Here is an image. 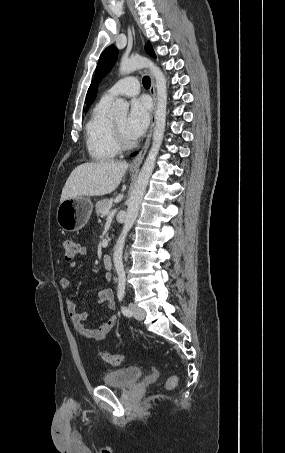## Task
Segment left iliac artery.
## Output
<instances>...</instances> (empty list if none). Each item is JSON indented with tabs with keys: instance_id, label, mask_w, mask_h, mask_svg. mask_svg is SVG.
Wrapping results in <instances>:
<instances>
[{
	"instance_id": "44dca946",
	"label": "left iliac artery",
	"mask_w": 285,
	"mask_h": 453,
	"mask_svg": "<svg viewBox=\"0 0 285 453\" xmlns=\"http://www.w3.org/2000/svg\"><path fill=\"white\" fill-rule=\"evenodd\" d=\"M118 290H117V297L119 302L123 301L125 295V286H126V278L124 272H118ZM121 311L126 317H131L132 312L126 306H121Z\"/></svg>"
}]
</instances>
